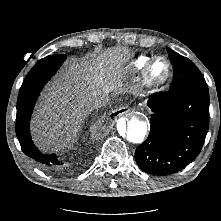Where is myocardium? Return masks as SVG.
Returning a JSON list of instances; mask_svg holds the SVG:
<instances>
[{"mask_svg": "<svg viewBox=\"0 0 221 221\" xmlns=\"http://www.w3.org/2000/svg\"><path fill=\"white\" fill-rule=\"evenodd\" d=\"M157 60H164L167 65L166 76L162 79H155L154 77H152L151 74L153 64ZM172 71H173L172 64L168 58H166L165 56H155L149 60V62L144 68L142 83L144 87H146L148 90L151 91L159 90L170 81L172 76Z\"/></svg>", "mask_w": 221, "mask_h": 221, "instance_id": "f54148a6", "label": "myocardium"}]
</instances>
